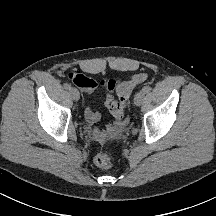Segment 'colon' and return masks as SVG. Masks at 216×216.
<instances>
[{
	"label": "colon",
	"mask_w": 216,
	"mask_h": 216,
	"mask_svg": "<svg viewBox=\"0 0 216 216\" xmlns=\"http://www.w3.org/2000/svg\"><path fill=\"white\" fill-rule=\"evenodd\" d=\"M146 73H138L133 75L129 80L123 82H117L114 79L102 80L101 85L105 86L108 91H115L117 99H113L109 96L108 108L114 118L119 124L124 122L125 118V105L131 96L134 88L140 84H143L147 80ZM70 78L74 82H79L82 79V74H71ZM94 163L96 166L106 169L112 166L113 159L106 152H100L94 157Z\"/></svg>",
	"instance_id": "obj_1"
}]
</instances>
